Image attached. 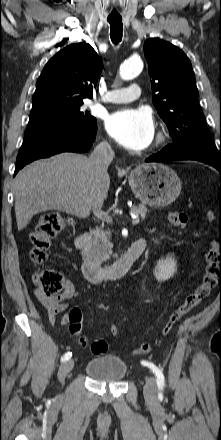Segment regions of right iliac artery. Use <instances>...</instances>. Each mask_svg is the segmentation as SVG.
Wrapping results in <instances>:
<instances>
[{
    "mask_svg": "<svg viewBox=\"0 0 221 440\" xmlns=\"http://www.w3.org/2000/svg\"><path fill=\"white\" fill-rule=\"evenodd\" d=\"M71 356H72V353L68 352L61 357V361L62 362L68 361L71 358Z\"/></svg>",
    "mask_w": 221,
    "mask_h": 440,
    "instance_id": "right-iliac-artery-1",
    "label": "right iliac artery"
}]
</instances>
